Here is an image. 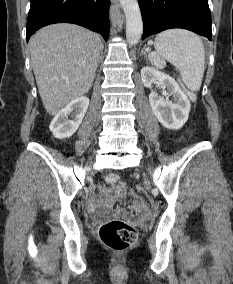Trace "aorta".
Masks as SVG:
<instances>
[{
	"label": "aorta",
	"mask_w": 233,
	"mask_h": 284,
	"mask_svg": "<svg viewBox=\"0 0 233 284\" xmlns=\"http://www.w3.org/2000/svg\"><path fill=\"white\" fill-rule=\"evenodd\" d=\"M126 17V38L130 45H136L143 33V22L137 0H119Z\"/></svg>",
	"instance_id": "1"
}]
</instances>
